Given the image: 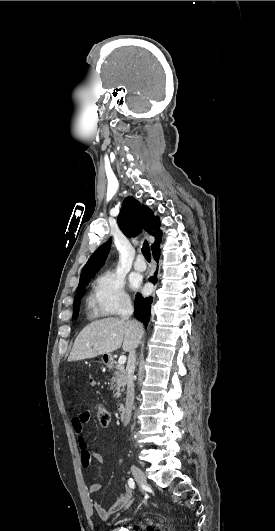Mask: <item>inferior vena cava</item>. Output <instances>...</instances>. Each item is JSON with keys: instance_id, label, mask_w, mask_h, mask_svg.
Wrapping results in <instances>:
<instances>
[{"instance_id": "1", "label": "inferior vena cava", "mask_w": 275, "mask_h": 531, "mask_svg": "<svg viewBox=\"0 0 275 531\" xmlns=\"http://www.w3.org/2000/svg\"><path fill=\"white\" fill-rule=\"evenodd\" d=\"M131 315H133V305L131 301H128L127 299V301H125L122 307L121 317L122 319H124V321H128ZM135 367H136V351L135 349H131V351H129V357H128V363H127L128 379H127V395H126V403H125L124 427H127V425H129L130 419H131V413L133 409Z\"/></svg>"}]
</instances>
